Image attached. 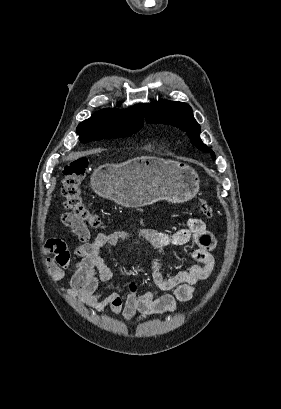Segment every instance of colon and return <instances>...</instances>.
<instances>
[{
	"label": "colon",
	"mask_w": 281,
	"mask_h": 409,
	"mask_svg": "<svg viewBox=\"0 0 281 409\" xmlns=\"http://www.w3.org/2000/svg\"><path fill=\"white\" fill-rule=\"evenodd\" d=\"M88 165V159L81 156L67 162L63 169L64 180L61 191L65 197L64 207L73 215L77 231L82 229L84 223L93 228L102 226L99 216L85 204L83 199L82 181ZM199 209L205 217H213L212 207L205 200H199Z\"/></svg>",
	"instance_id": "obj_1"
}]
</instances>
